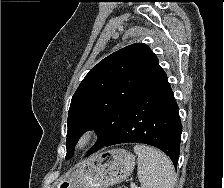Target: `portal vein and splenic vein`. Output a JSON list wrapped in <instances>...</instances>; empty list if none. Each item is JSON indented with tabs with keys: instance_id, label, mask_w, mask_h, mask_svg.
Returning <instances> with one entry per match:
<instances>
[{
	"instance_id": "portal-vein-and-splenic-vein-1",
	"label": "portal vein and splenic vein",
	"mask_w": 224,
	"mask_h": 188,
	"mask_svg": "<svg viewBox=\"0 0 224 188\" xmlns=\"http://www.w3.org/2000/svg\"><path fill=\"white\" fill-rule=\"evenodd\" d=\"M131 188H137L134 183H131Z\"/></svg>"
}]
</instances>
